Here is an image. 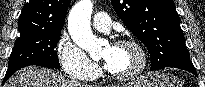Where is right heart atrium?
I'll list each match as a JSON object with an SVG mask.
<instances>
[{"mask_svg": "<svg viewBox=\"0 0 205 87\" xmlns=\"http://www.w3.org/2000/svg\"><path fill=\"white\" fill-rule=\"evenodd\" d=\"M56 55L64 72L72 78L91 80L98 74L97 65L67 33L56 44Z\"/></svg>", "mask_w": 205, "mask_h": 87, "instance_id": "d8ad5b80", "label": "right heart atrium"}]
</instances>
